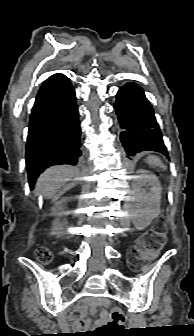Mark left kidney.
<instances>
[{"label": "left kidney", "mask_w": 194, "mask_h": 336, "mask_svg": "<svg viewBox=\"0 0 194 336\" xmlns=\"http://www.w3.org/2000/svg\"><path fill=\"white\" fill-rule=\"evenodd\" d=\"M133 176L132 191L129 197L130 216L137 229L149 226L160 213L161 186L157 176L146 170H138ZM148 185L149 191L142 189Z\"/></svg>", "instance_id": "left-kidney-1"}]
</instances>
